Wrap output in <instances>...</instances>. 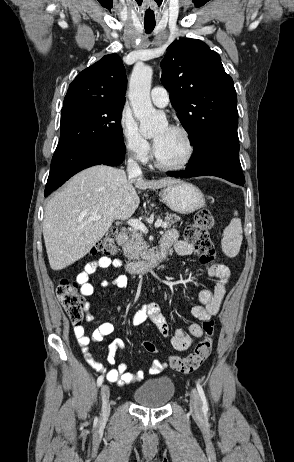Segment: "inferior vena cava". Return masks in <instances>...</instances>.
Returning a JSON list of instances; mask_svg holds the SVG:
<instances>
[{"label":"inferior vena cava","mask_w":294,"mask_h":462,"mask_svg":"<svg viewBox=\"0 0 294 462\" xmlns=\"http://www.w3.org/2000/svg\"><path fill=\"white\" fill-rule=\"evenodd\" d=\"M127 173L129 178H134L142 175L140 166L132 157H129L127 161Z\"/></svg>","instance_id":"602c4592"}]
</instances>
